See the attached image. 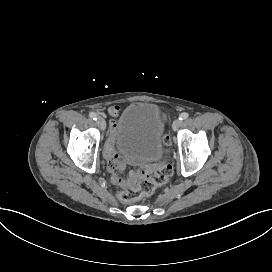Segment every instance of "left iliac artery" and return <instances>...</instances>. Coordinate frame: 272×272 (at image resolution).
Wrapping results in <instances>:
<instances>
[{"mask_svg":"<svg viewBox=\"0 0 272 272\" xmlns=\"http://www.w3.org/2000/svg\"><path fill=\"white\" fill-rule=\"evenodd\" d=\"M188 117H189V114L186 113V112H183V113L180 114L179 120L182 121V120L187 119Z\"/></svg>","mask_w":272,"mask_h":272,"instance_id":"obj_1","label":"left iliac artery"}]
</instances>
